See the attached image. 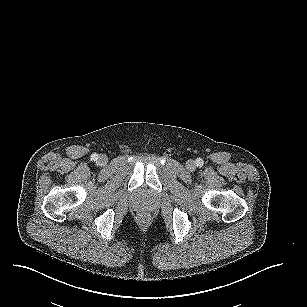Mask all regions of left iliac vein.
I'll list each match as a JSON object with an SVG mask.
<instances>
[{
    "label": "left iliac vein",
    "mask_w": 307,
    "mask_h": 307,
    "mask_svg": "<svg viewBox=\"0 0 307 307\" xmlns=\"http://www.w3.org/2000/svg\"><path fill=\"white\" fill-rule=\"evenodd\" d=\"M186 168L189 171H194L196 169V165H195L194 161H192V160L187 161Z\"/></svg>",
    "instance_id": "4c4485c4"
}]
</instances>
